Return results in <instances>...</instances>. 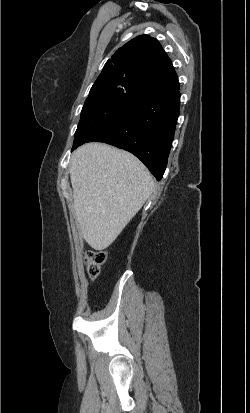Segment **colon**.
<instances>
[{"label":"colon","instance_id":"1","mask_svg":"<svg viewBox=\"0 0 250 413\" xmlns=\"http://www.w3.org/2000/svg\"><path fill=\"white\" fill-rule=\"evenodd\" d=\"M106 260V254L103 251H88L86 254V269L91 278L99 275L101 266Z\"/></svg>","mask_w":250,"mask_h":413}]
</instances>
